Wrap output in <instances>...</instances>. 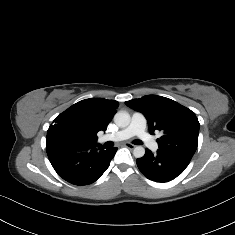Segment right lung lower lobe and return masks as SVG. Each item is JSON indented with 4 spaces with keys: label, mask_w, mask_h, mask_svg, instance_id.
<instances>
[{
    "label": "right lung lower lobe",
    "mask_w": 235,
    "mask_h": 235,
    "mask_svg": "<svg viewBox=\"0 0 235 235\" xmlns=\"http://www.w3.org/2000/svg\"><path fill=\"white\" fill-rule=\"evenodd\" d=\"M49 160L64 180L78 186L89 185L107 170L117 148L100 144L57 142L46 145Z\"/></svg>",
    "instance_id": "1"
}]
</instances>
